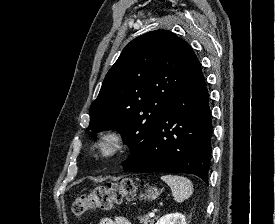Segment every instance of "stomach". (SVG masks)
Returning <instances> with one entry per match:
<instances>
[{
	"label": "stomach",
	"mask_w": 275,
	"mask_h": 224,
	"mask_svg": "<svg viewBox=\"0 0 275 224\" xmlns=\"http://www.w3.org/2000/svg\"><path fill=\"white\" fill-rule=\"evenodd\" d=\"M160 195V191L156 187H149L144 194L140 195V199L152 201Z\"/></svg>",
	"instance_id": "1"
}]
</instances>
